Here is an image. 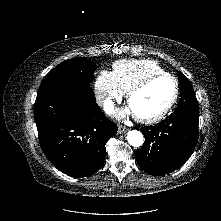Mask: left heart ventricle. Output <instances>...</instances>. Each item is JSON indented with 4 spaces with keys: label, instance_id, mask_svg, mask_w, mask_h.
Instances as JSON below:
<instances>
[{
    "label": "left heart ventricle",
    "instance_id": "b2bd125f",
    "mask_svg": "<svg viewBox=\"0 0 221 221\" xmlns=\"http://www.w3.org/2000/svg\"><path fill=\"white\" fill-rule=\"evenodd\" d=\"M174 84L169 78H159L144 90L135 94L129 106L137 116H153L160 112L170 101Z\"/></svg>",
    "mask_w": 221,
    "mask_h": 221
}]
</instances>
